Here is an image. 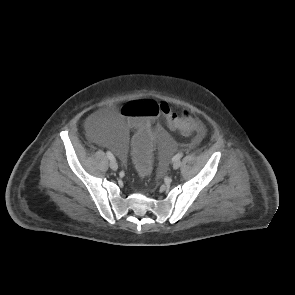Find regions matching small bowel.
<instances>
[{
  "label": "small bowel",
  "instance_id": "1",
  "mask_svg": "<svg viewBox=\"0 0 295 295\" xmlns=\"http://www.w3.org/2000/svg\"><path fill=\"white\" fill-rule=\"evenodd\" d=\"M198 121V120H197ZM199 122V121H198ZM200 126H201V130L196 134V139L197 140H200L204 134V129H203V126L202 124L199 122ZM129 128V127H127ZM154 129V127H152Z\"/></svg>",
  "mask_w": 295,
  "mask_h": 295
}]
</instances>
